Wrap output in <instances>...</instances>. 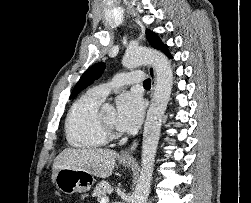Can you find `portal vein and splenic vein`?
I'll return each instance as SVG.
<instances>
[{
	"mask_svg": "<svg viewBox=\"0 0 251 203\" xmlns=\"http://www.w3.org/2000/svg\"><path fill=\"white\" fill-rule=\"evenodd\" d=\"M109 202V198L108 197H103L101 199V202L100 203H108Z\"/></svg>",
	"mask_w": 251,
	"mask_h": 203,
	"instance_id": "obj_1",
	"label": "portal vein and splenic vein"
}]
</instances>
